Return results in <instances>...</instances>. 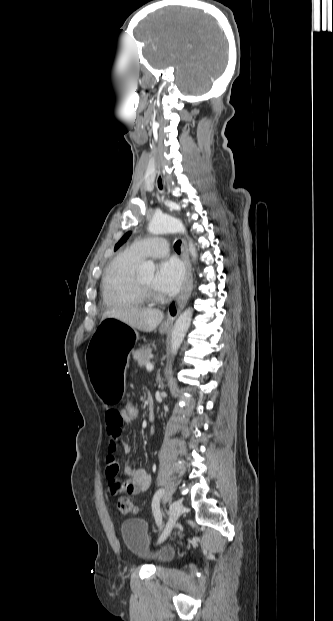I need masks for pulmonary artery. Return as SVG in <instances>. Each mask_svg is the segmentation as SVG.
Listing matches in <instances>:
<instances>
[{
	"instance_id": "e3ab8cb5",
	"label": "pulmonary artery",
	"mask_w": 333,
	"mask_h": 621,
	"mask_svg": "<svg viewBox=\"0 0 333 621\" xmlns=\"http://www.w3.org/2000/svg\"><path fill=\"white\" fill-rule=\"evenodd\" d=\"M128 252L140 260L146 257H162L168 253V245L163 238L150 237L132 243Z\"/></svg>"
}]
</instances>
